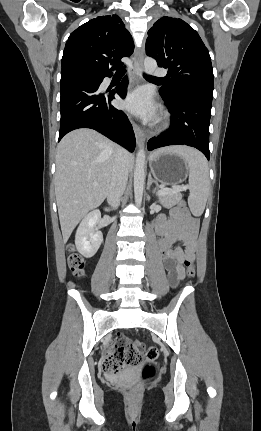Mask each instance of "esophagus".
<instances>
[{
	"instance_id": "obj_1",
	"label": "esophagus",
	"mask_w": 261,
	"mask_h": 431,
	"mask_svg": "<svg viewBox=\"0 0 261 431\" xmlns=\"http://www.w3.org/2000/svg\"><path fill=\"white\" fill-rule=\"evenodd\" d=\"M143 61H144V50L140 49L136 54V59H135L134 68H133L137 81H140L142 78ZM132 125L135 133L137 145L139 146L143 140V132L141 130V127L138 124H136L134 121H132Z\"/></svg>"
}]
</instances>
